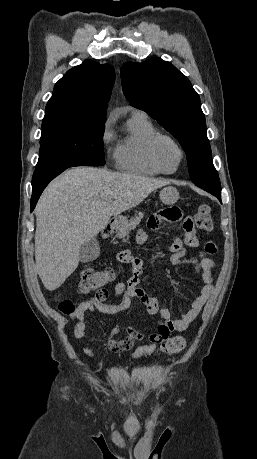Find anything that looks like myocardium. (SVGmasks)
I'll return each mask as SVG.
<instances>
[{"label": "myocardium", "instance_id": "myocardium-1", "mask_svg": "<svg viewBox=\"0 0 257 459\" xmlns=\"http://www.w3.org/2000/svg\"><path fill=\"white\" fill-rule=\"evenodd\" d=\"M169 140L170 142H172L176 148L178 149L179 151V154H180V159H179V162L176 166V168L174 170H166L162 167V165L160 164V162L158 161L157 159V156H156V147H157V144L159 143V141L161 140ZM147 154H148V158L150 160V162L152 163V165L161 173L163 174H174L176 173L184 159H185V151L182 147V145L179 143V141L174 138L173 136L169 135V134H165V133H156L149 141L148 143V147H147Z\"/></svg>", "mask_w": 257, "mask_h": 459}]
</instances>
